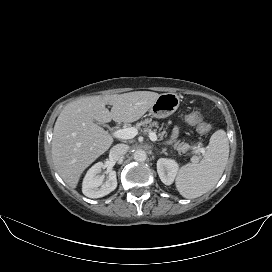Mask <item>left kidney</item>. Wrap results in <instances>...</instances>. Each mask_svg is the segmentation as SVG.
Wrapping results in <instances>:
<instances>
[{"label":"left kidney","mask_w":272,"mask_h":272,"mask_svg":"<svg viewBox=\"0 0 272 272\" xmlns=\"http://www.w3.org/2000/svg\"><path fill=\"white\" fill-rule=\"evenodd\" d=\"M179 165L175 160L160 158L157 161V172L165 185H171L178 173Z\"/></svg>","instance_id":"left-kidney-1"}]
</instances>
